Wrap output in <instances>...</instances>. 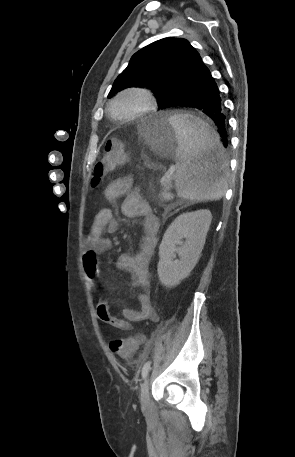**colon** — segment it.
<instances>
[{
    "label": "colon",
    "instance_id": "1",
    "mask_svg": "<svg viewBox=\"0 0 295 457\" xmlns=\"http://www.w3.org/2000/svg\"><path fill=\"white\" fill-rule=\"evenodd\" d=\"M127 162V154L123 144L118 139H109L102 150L101 158L94 167V177L92 185L96 186L100 180L109 172L117 167L124 165ZM143 341L141 335L134 337L117 339L107 342V349L112 350L114 355H119L122 358L130 359L136 352L139 344Z\"/></svg>",
    "mask_w": 295,
    "mask_h": 457
}]
</instances>
